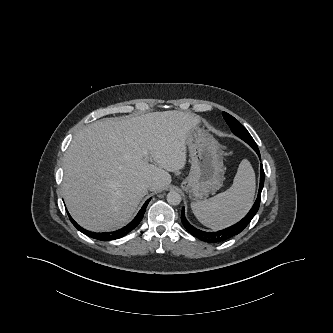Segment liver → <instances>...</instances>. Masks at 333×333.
Segmentation results:
<instances>
[{"label": "liver", "instance_id": "6515ba94", "mask_svg": "<svg viewBox=\"0 0 333 333\" xmlns=\"http://www.w3.org/2000/svg\"><path fill=\"white\" fill-rule=\"evenodd\" d=\"M199 123V116L173 110L85 126L64 157L63 197L75 221L94 232L126 224L148 190H163L169 172L184 168L187 138Z\"/></svg>", "mask_w": 333, "mask_h": 333}]
</instances>
